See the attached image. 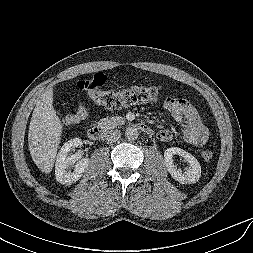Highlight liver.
<instances>
[{
	"label": "liver",
	"instance_id": "6515ba94",
	"mask_svg": "<svg viewBox=\"0 0 253 253\" xmlns=\"http://www.w3.org/2000/svg\"><path fill=\"white\" fill-rule=\"evenodd\" d=\"M63 125L53 108V88L42 93L32 113L28 147L36 166L44 173L53 169Z\"/></svg>",
	"mask_w": 253,
	"mask_h": 253
}]
</instances>
